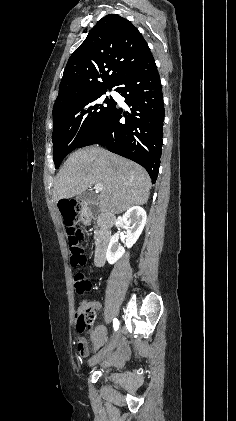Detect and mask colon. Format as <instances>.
<instances>
[{"label":"colon","instance_id":"colon-1","mask_svg":"<svg viewBox=\"0 0 236 421\" xmlns=\"http://www.w3.org/2000/svg\"><path fill=\"white\" fill-rule=\"evenodd\" d=\"M64 213V223L67 228L68 243L70 251V262L73 266H83L86 262L84 249L81 245L84 233L76 225L75 211L69 204L62 206ZM75 293L82 296L91 288V281L82 271H77L73 276ZM95 311L89 305H81L76 313L77 330L79 333L86 331L95 320ZM77 351L80 356H85L88 347L85 340L78 337L76 340Z\"/></svg>","mask_w":236,"mask_h":421}]
</instances>
